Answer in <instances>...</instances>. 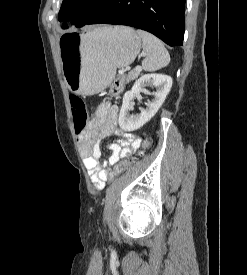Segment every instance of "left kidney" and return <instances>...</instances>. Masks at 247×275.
Returning <instances> with one entry per match:
<instances>
[{
    "instance_id": "left-kidney-1",
    "label": "left kidney",
    "mask_w": 247,
    "mask_h": 275,
    "mask_svg": "<svg viewBox=\"0 0 247 275\" xmlns=\"http://www.w3.org/2000/svg\"><path fill=\"white\" fill-rule=\"evenodd\" d=\"M145 86H155L154 99L146 103V108L139 114L130 115L129 110L133 106L134 98L143 91ZM172 87V78L164 74H145L133 85L130 91L123 96V103L119 113V126L124 131H134L146 124L159 110Z\"/></svg>"
}]
</instances>
